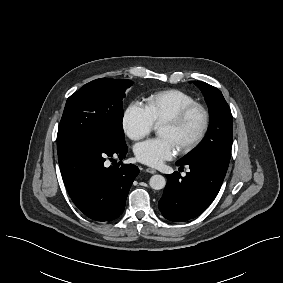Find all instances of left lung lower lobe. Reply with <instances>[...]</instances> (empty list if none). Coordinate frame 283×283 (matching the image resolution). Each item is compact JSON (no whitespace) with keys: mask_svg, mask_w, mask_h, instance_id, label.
Returning a JSON list of instances; mask_svg holds the SVG:
<instances>
[{"mask_svg":"<svg viewBox=\"0 0 283 283\" xmlns=\"http://www.w3.org/2000/svg\"><path fill=\"white\" fill-rule=\"evenodd\" d=\"M176 165H188L190 172L185 177L177 171L166 175L167 185L159 200V209L166 219L183 222L199 216L211 204L227 171L207 162H177Z\"/></svg>","mask_w":283,"mask_h":283,"instance_id":"obj_1","label":"left lung lower lobe"}]
</instances>
